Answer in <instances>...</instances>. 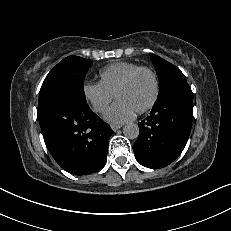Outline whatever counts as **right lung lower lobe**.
I'll use <instances>...</instances> for the list:
<instances>
[{
  "instance_id": "1",
  "label": "right lung lower lobe",
  "mask_w": 231,
  "mask_h": 231,
  "mask_svg": "<svg viewBox=\"0 0 231 231\" xmlns=\"http://www.w3.org/2000/svg\"><path fill=\"white\" fill-rule=\"evenodd\" d=\"M37 114L46 146L63 169L86 175L104 166L113 131L86 102L60 97L38 108Z\"/></svg>"
}]
</instances>
